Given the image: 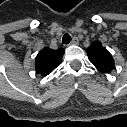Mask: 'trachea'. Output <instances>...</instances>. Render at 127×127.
I'll return each instance as SVG.
<instances>
[{"label": "trachea", "mask_w": 127, "mask_h": 127, "mask_svg": "<svg viewBox=\"0 0 127 127\" xmlns=\"http://www.w3.org/2000/svg\"><path fill=\"white\" fill-rule=\"evenodd\" d=\"M71 41V36L68 33H65L62 38L64 44H69Z\"/></svg>", "instance_id": "obj_1"}]
</instances>
